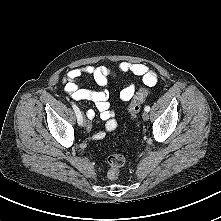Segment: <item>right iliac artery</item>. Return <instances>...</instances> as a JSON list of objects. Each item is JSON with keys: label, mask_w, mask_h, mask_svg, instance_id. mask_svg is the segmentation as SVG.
I'll return each mask as SVG.
<instances>
[{"label": "right iliac artery", "mask_w": 221, "mask_h": 221, "mask_svg": "<svg viewBox=\"0 0 221 221\" xmlns=\"http://www.w3.org/2000/svg\"><path fill=\"white\" fill-rule=\"evenodd\" d=\"M71 104H72L73 110L76 113L78 124L81 125L82 124V114L76 104H74L73 102Z\"/></svg>", "instance_id": "right-iliac-artery-1"}]
</instances>
